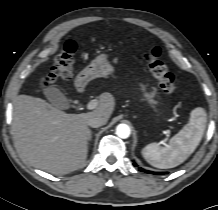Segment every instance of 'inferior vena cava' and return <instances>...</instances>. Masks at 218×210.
<instances>
[{"label": "inferior vena cava", "instance_id": "obj_1", "mask_svg": "<svg viewBox=\"0 0 218 210\" xmlns=\"http://www.w3.org/2000/svg\"><path fill=\"white\" fill-rule=\"evenodd\" d=\"M106 122H107V120H105L104 118H102L100 116H92L88 120V125L90 127L97 128V127H100V126L106 124Z\"/></svg>", "mask_w": 218, "mask_h": 210}]
</instances>
